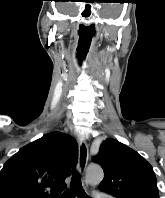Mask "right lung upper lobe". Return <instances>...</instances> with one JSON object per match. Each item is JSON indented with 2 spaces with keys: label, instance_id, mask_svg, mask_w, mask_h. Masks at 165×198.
Masks as SVG:
<instances>
[{
  "label": "right lung upper lobe",
  "instance_id": "1",
  "mask_svg": "<svg viewBox=\"0 0 165 198\" xmlns=\"http://www.w3.org/2000/svg\"><path fill=\"white\" fill-rule=\"evenodd\" d=\"M76 140L52 132L21 148L0 172V198H49L66 188L77 161Z\"/></svg>",
  "mask_w": 165,
  "mask_h": 198
}]
</instances>
